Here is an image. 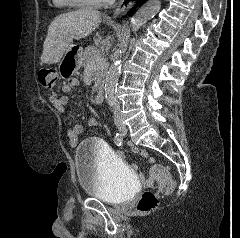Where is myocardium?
Masks as SVG:
<instances>
[{"mask_svg":"<svg viewBox=\"0 0 240 238\" xmlns=\"http://www.w3.org/2000/svg\"><path fill=\"white\" fill-rule=\"evenodd\" d=\"M70 4L78 7H102L105 5H108L112 2V0H102V1H96V0H67Z\"/></svg>","mask_w":240,"mask_h":238,"instance_id":"obj_1","label":"myocardium"}]
</instances>
